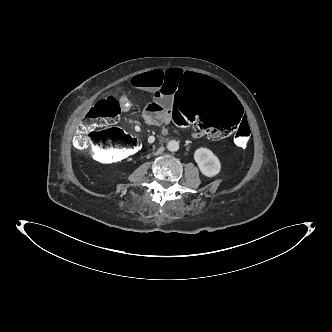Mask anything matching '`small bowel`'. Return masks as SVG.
Segmentation results:
<instances>
[{"instance_id": "1", "label": "small bowel", "mask_w": 332, "mask_h": 332, "mask_svg": "<svg viewBox=\"0 0 332 332\" xmlns=\"http://www.w3.org/2000/svg\"><path fill=\"white\" fill-rule=\"evenodd\" d=\"M183 77L184 74L179 69H158L138 74L131 79L134 88L153 93L152 101L146 105L143 111V119L147 124L162 127L173 119L172 104L175 90ZM130 108L129 100L124 98L122 100L123 111L128 112ZM192 137L200 139L205 136L198 131H193Z\"/></svg>"}]
</instances>
